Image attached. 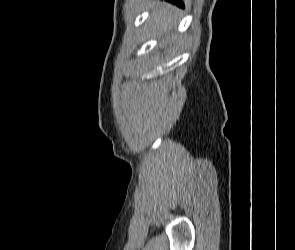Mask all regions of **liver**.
<instances>
[{
  "label": "liver",
  "instance_id": "obj_1",
  "mask_svg": "<svg viewBox=\"0 0 295 250\" xmlns=\"http://www.w3.org/2000/svg\"><path fill=\"white\" fill-rule=\"evenodd\" d=\"M152 14L150 24L153 26V30L157 34H165V42H170V34L173 29V20L171 10L173 6L170 4L162 5L159 1L152 3Z\"/></svg>",
  "mask_w": 295,
  "mask_h": 250
}]
</instances>
